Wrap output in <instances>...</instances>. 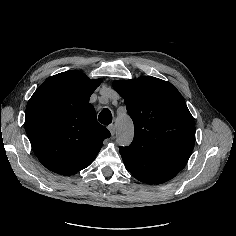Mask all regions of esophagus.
I'll list each match as a JSON object with an SVG mask.
<instances>
[{"label": "esophagus", "instance_id": "34e87169", "mask_svg": "<svg viewBox=\"0 0 236 236\" xmlns=\"http://www.w3.org/2000/svg\"><path fill=\"white\" fill-rule=\"evenodd\" d=\"M108 130L110 131L111 135H115V132H116V128H115V125L114 124H111L108 126Z\"/></svg>", "mask_w": 236, "mask_h": 236}]
</instances>
